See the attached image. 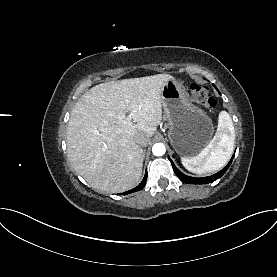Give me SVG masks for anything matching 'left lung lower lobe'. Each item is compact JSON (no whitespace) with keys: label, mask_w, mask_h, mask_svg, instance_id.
<instances>
[{"label":"left lung lower lobe","mask_w":277,"mask_h":277,"mask_svg":"<svg viewBox=\"0 0 277 277\" xmlns=\"http://www.w3.org/2000/svg\"><path fill=\"white\" fill-rule=\"evenodd\" d=\"M215 87V86H214ZM216 88V87H215ZM173 170L175 172V174L180 178L181 181H183L184 183H188V184H207V183H211L217 179H219L229 168L233 157L231 158L230 162L226 165V167L224 169H222L221 171H219L218 173L212 175V176H208V177H204V178H194V177H190L187 176L185 174H183L182 172H180L176 166L174 165V163L172 162V160L169 158Z\"/></svg>","instance_id":"obj_1"}]
</instances>
